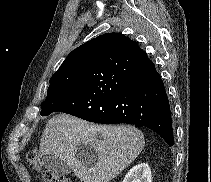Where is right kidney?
<instances>
[{
	"label": "right kidney",
	"instance_id": "obj_1",
	"mask_svg": "<svg viewBox=\"0 0 211 182\" xmlns=\"http://www.w3.org/2000/svg\"><path fill=\"white\" fill-rule=\"evenodd\" d=\"M123 182H152L151 170L147 163L134 166L126 174Z\"/></svg>",
	"mask_w": 211,
	"mask_h": 182
}]
</instances>
